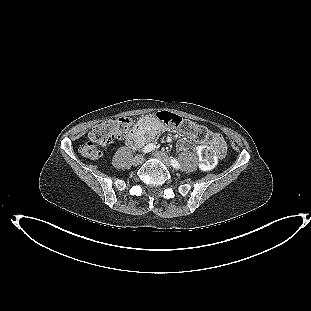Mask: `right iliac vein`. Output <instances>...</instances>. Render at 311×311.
Returning <instances> with one entry per match:
<instances>
[{
  "mask_svg": "<svg viewBox=\"0 0 311 311\" xmlns=\"http://www.w3.org/2000/svg\"><path fill=\"white\" fill-rule=\"evenodd\" d=\"M144 156L143 155H137L133 158L132 163L133 165L137 166L143 162Z\"/></svg>",
  "mask_w": 311,
  "mask_h": 311,
  "instance_id": "obj_1",
  "label": "right iliac vein"
}]
</instances>
